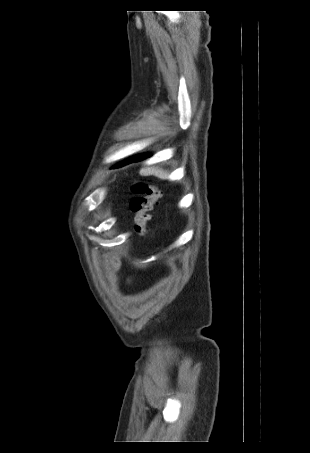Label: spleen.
<instances>
[{"label":"spleen","instance_id":"spleen-1","mask_svg":"<svg viewBox=\"0 0 310 453\" xmlns=\"http://www.w3.org/2000/svg\"><path fill=\"white\" fill-rule=\"evenodd\" d=\"M142 172L146 173V174L154 175L163 180L168 178V173L160 168H154V167L147 168V169L142 170Z\"/></svg>","mask_w":310,"mask_h":453}]
</instances>
